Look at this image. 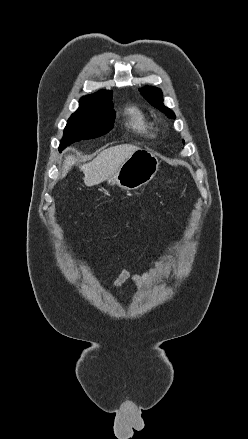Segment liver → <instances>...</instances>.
Wrapping results in <instances>:
<instances>
[{"label":"liver","instance_id":"6515ba94","mask_svg":"<svg viewBox=\"0 0 248 439\" xmlns=\"http://www.w3.org/2000/svg\"><path fill=\"white\" fill-rule=\"evenodd\" d=\"M138 149L140 148L132 144L113 146L100 152L91 162L79 165L84 173L85 185L91 187L107 180ZM76 163L77 159L73 155L66 156L60 178H64Z\"/></svg>","mask_w":248,"mask_h":439}]
</instances>
